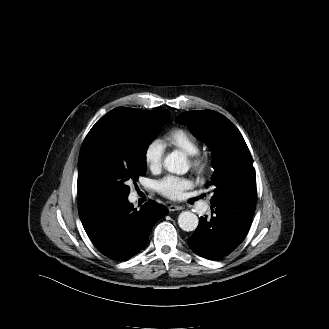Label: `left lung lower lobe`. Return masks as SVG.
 <instances>
[{
    "instance_id": "left-lung-lower-lobe-1",
    "label": "left lung lower lobe",
    "mask_w": 329,
    "mask_h": 329,
    "mask_svg": "<svg viewBox=\"0 0 329 329\" xmlns=\"http://www.w3.org/2000/svg\"><path fill=\"white\" fill-rule=\"evenodd\" d=\"M255 171L227 200L212 201L211 217H201L188 245L198 255L217 260L230 254L247 235L256 207Z\"/></svg>"
}]
</instances>
